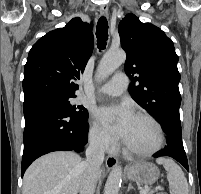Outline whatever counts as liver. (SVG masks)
Instances as JSON below:
<instances>
[{
  "mask_svg": "<svg viewBox=\"0 0 201 194\" xmlns=\"http://www.w3.org/2000/svg\"><path fill=\"white\" fill-rule=\"evenodd\" d=\"M83 162L73 152H52L40 157L25 172L23 194H77ZM101 174L99 170L97 178Z\"/></svg>",
  "mask_w": 201,
  "mask_h": 194,
  "instance_id": "1",
  "label": "liver"
}]
</instances>
